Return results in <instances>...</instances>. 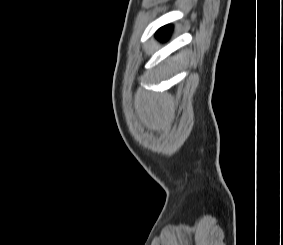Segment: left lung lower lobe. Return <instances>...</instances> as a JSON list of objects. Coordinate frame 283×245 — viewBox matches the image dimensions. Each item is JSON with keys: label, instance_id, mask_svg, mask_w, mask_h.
Masks as SVG:
<instances>
[{"label": "left lung lower lobe", "instance_id": "left-lung-lower-lobe-1", "mask_svg": "<svg viewBox=\"0 0 283 245\" xmlns=\"http://www.w3.org/2000/svg\"><path fill=\"white\" fill-rule=\"evenodd\" d=\"M171 32V26L167 25L157 31V37L161 40H167Z\"/></svg>", "mask_w": 283, "mask_h": 245}]
</instances>
